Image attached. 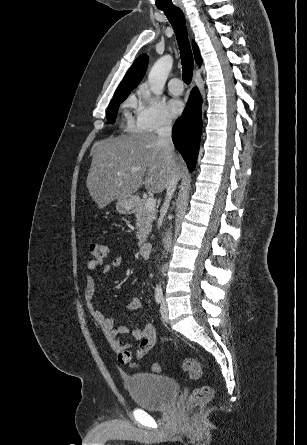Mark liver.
<instances>
[{
    "instance_id": "obj_1",
    "label": "liver",
    "mask_w": 307,
    "mask_h": 445,
    "mask_svg": "<svg viewBox=\"0 0 307 445\" xmlns=\"http://www.w3.org/2000/svg\"><path fill=\"white\" fill-rule=\"evenodd\" d=\"M168 158H171L173 164L167 162ZM132 166H140V170L130 172ZM181 168L180 156L160 144L154 132L131 136L123 134L116 138L109 136L94 144L86 184L98 208H104L115 198L132 196L142 184H145L147 190L162 192L172 170L178 174Z\"/></svg>"
}]
</instances>
